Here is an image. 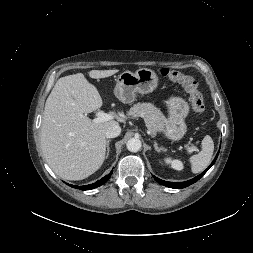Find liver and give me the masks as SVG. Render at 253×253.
<instances>
[{
  "label": "liver",
  "instance_id": "obj_1",
  "mask_svg": "<svg viewBox=\"0 0 253 253\" xmlns=\"http://www.w3.org/2000/svg\"><path fill=\"white\" fill-rule=\"evenodd\" d=\"M118 70H91L93 79L106 78ZM97 89L82 73L58 79L48 96L41 124L43 155L61 178L82 180L96 172L106 155L108 127L114 120L96 123L84 113L102 106Z\"/></svg>",
  "mask_w": 253,
  "mask_h": 253
}]
</instances>
